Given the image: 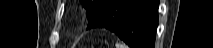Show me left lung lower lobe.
Masks as SVG:
<instances>
[{"label":"left lung lower lobe","instance_id":"0a47b994","mask_svg":"<svg viewBox=\"0 0 213 48\" xmlns=\"http://www.w3.org/2000/svg\"><path fill=\"white\" fill-rule=\"evenodd\" d=\"M159 0H110L88 29L107 28L131 48H154Z\"/></svg>","mask_w":213,"mask_h":48}]
</instances>
